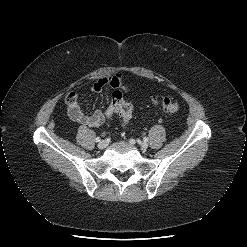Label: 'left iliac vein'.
<instances>
[{
	"instance_id": "1",
	"label": "left iliac vein",
	"mask_w": 247,
	"mask_h": 247,
	"mask_svg": "<svg viewBox=\"0 0 247 247\" xmlns=\"http://www.w3.org/2000/svg\"><path fill=\"white\" fill-rule=\"evenodd\" d=\"M140 146H141L142 149H147L148 148V144L146 142H142L140 144Z\"/></svg>"
}]
</instances>
